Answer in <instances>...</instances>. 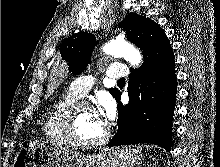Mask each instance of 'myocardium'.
<instances>
[{
	"label": "myocardium",
	"mask_w": 220,
	"mask_h": 167,
	"mask_svg": "<svg viewBox=\"0 0 220 167\" xmlns=\"http://www.w3.org/2000/svg\"><path fill=\"white\" fill-rule=\"evenodd\" d=\"M82 108H90L93 109L92 105L85 100H77L73 102L65 111L62 118V129L63 132L70 142V144L81 147V148H94L101 145H104L110 137L111 131L109 128H106L103 135L92 141H85L80 139L76 133V120L77 115L80 109Z\"/></svg>",
	"instance_id": "1"
}]
</instances>
